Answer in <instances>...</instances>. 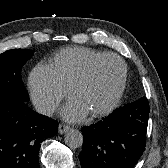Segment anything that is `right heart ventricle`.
<instances>
[{
    "mask_svg": "<svg viewBox=\"0 0 168 168\" xmlns=\"http://www.w3.org/2000/svg\"><path fill=\"white\" fill-rule=\"evenodd\" d=\"M103 54L85 47L68 48L55 55L52 65L62 81L71 88L89 63Z\"/></svg>",
    "mask_w": 168,
    "mask_h": 168,
    "instance_id": "obj_1",
    "label": "right heart ventricle"
}]
</instances>
